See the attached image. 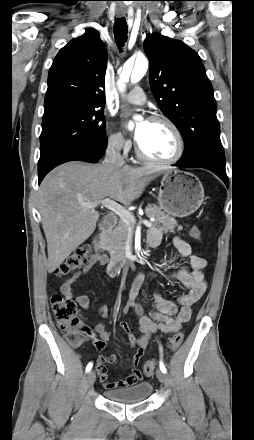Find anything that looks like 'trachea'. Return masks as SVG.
Returning a JSON list of instances; mask_svg holds the SVG:
<instances>
[{
	"label": "trachea",
	"mask_w": 254,
	"mask_h": 440,
	"mask_svg": "<svg viewBox=\"0 0 254 440\" xmlns=\"http://www.w3.org/2000/svg\"><path fill=\"white\" fill-rule=\"evenodd\" d=\"M128 26L124 18L116 19L114 23V37L119 47H122L127 40Z\"/></svg>",
	"instance_id": "trachea-1"
}]
</instances>
